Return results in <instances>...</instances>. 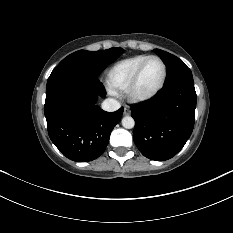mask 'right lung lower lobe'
Returning a JSON list of instances; mask_svg holds the SVG:
<instances>
[{
	"label": "right lung lower lobe",
	"mask_w": 233,
	"mask_h": 233,
	"mask_svg": "<svg viewBox=\"0 0 233 233\" xmlns=\"http://www.w3.org/2000/svg\"><path fill=\"white\" fill-rule=\"evenodd\" d=\"M105 90L96 76L58 75L49 78L44 113L52 142L70 160L88 162L105 150L123 108L105 112L95 105Z\"/></svg>",
	"instance_id": "1"
}]
</instances>
